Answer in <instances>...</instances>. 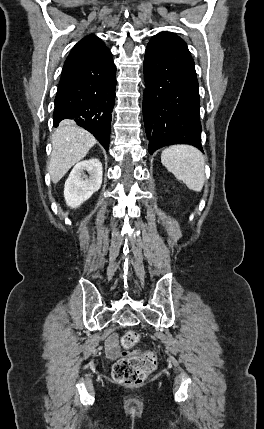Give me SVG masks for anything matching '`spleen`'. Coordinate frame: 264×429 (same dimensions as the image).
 <instances>
[{"label":"spleen","instance_id":"spleen-1","mask_svg":"<svg viewBox=\"0 0 264 429\" xmlns=\"http://www.w3.org/2000/svg\"><path fill=\"white\" fill-rule=\"evenodd\" d=\"M163 166L188 189L200 192L205 182V161L203 154L190 145H173L161 154Z\"/></svg>","mask_w":264,"mask_h":429}]
</instances>
